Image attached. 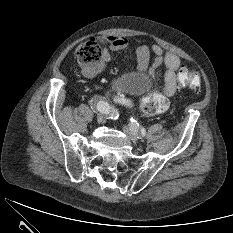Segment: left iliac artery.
Segmentation results:
<instances>
[{
	"mask_svg": "<svg viewBox=\"0 0 233 233\" xmlns=\"http://www.w3.org/2000/svg\"><path fill=\"white\" fill-rule=\"evenodd\" d=\"M114 101H116V102H118V103H120V104H126V105H128V106L131 104L129 100H127L126 98L121 97V96L115 98ZM131 121H132L133 127H134L136 130L140 131L142 135H145V134H146V131L144 130V128H142V127L139 125V123H137L136 120L131 119Z\"/></svg>",
	"mask_w": 233,
	"mask_h": 233,
	"instance_id": "left-iliac-artery-1",
	"label": "left iliac artery"
}]
</instances>
